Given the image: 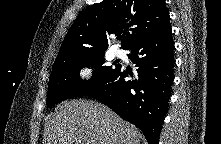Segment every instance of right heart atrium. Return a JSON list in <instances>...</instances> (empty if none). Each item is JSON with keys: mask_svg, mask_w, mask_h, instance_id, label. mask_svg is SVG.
Returning a JSON list of instances; mask_svg holds the SVG:
<instances>
[{"mask_svg": "<svg viewBox=\"0 0 221 144\" xmlns=\"http://www.w3.org/2000/svg\"><path fill=\"white\" fill-rule=\"evenodd\" d=\"M93 75L94 69L90 65H84L78 70V78L83 82L90 81Z\"/></svg>", "mask_w": 221, "mask_h": 144, "instance_id": "d8ad5b80", "label": "right heart atrium"}]
</instances>
